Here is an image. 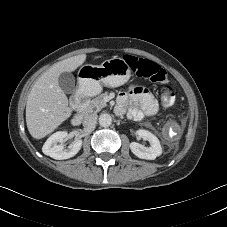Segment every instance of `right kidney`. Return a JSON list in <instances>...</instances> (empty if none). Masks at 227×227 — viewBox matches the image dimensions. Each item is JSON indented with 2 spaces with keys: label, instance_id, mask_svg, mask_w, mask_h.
<instances>
[{
  "label": "right kidney",
  "instance_id": "obj_1",
  "mask_svg": "<svg viewBox=\"0 0 227 227\" xmlns=\"http://www.w3.org/2000/svg\"><path fill=\"white\" fill-rule=\"evenodd\" d=\"M67 135V131H58L51 135L42 147L43 153L57 160L68 159L75 156L81 149L82 140L78 139L74 141L66 149L62 142Z\"/></svg>",
  "mask_w": 227,
  "mask_h": 227
}]
</instances>
